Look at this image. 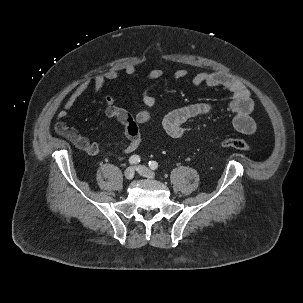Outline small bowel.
Masks as SVG:
<instances>
[{"mask_svg":"<svg viewBox=\"0 0 303 303\" xmlns=\"http://www.w3.org/2000/svg\"><path fill=\"white\" fill-rule=\"evenodd\" d=\"M124 72L129 76H137L139 73L132 64L124 67ZM164 75L163 69H152L146 73L145 77L149 80H156ZM117 70H108L98 74L91 79L82 81L72 91L68 97L64 108L59 112L55 129L58 134L70 141L77 149L90 156L99 153V145L91 141L88 137L81 134L74 127L68 126L65 122L70 110L74 107L77 100L89 89L93 93L101 91L103 86L110 81L118 79ZM176 80H190L194 85H206L212 88H221L231 94V100L228 104L229 111L233 114V127L240 133L250 135L255 132L256 124L251 117L254 109V102L250 91L241 82L233 79L226 73L203 71L193 76H189L186 69L175 71ZM105 116L109 120L118 121L124 128V133L128 139L124 152L133 153L137 150L141 142V127L153 122V115L150 109L155 105V97L148 91L142 94L144 108L137 114L132 115L124 108L115 105V99L112 95L105 96ZM213 110L209 103H197L183 106L170 111L163 119V127L166 133L172 138H180L187 132L186 124L197 117L208 116Z\"/></svg>","mask_w":303,"mask_h":303,"instance_id":"small-bowel-1","label":"small bowel"}]
</instances>
